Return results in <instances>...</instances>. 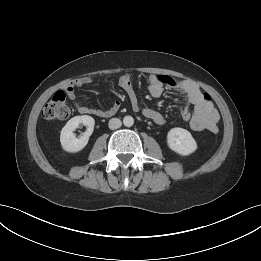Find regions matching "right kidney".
I'll return each instance as SVG.
<instances>
[{
  "mask_svg": "<svg viewBox=\"0 0 261 261\" xmlns=\"http://www.w3.org/2000/svg\"><path fill=\"white\" fill-rule=\"evenodd\" d=\"M80 124L87 127L86 132L80 138H76L74 131ZM95 120L88 115L75 116L71 118L62 128L60 134V142L62 148L71 153L82 150L88 143L89 137L93 133Z\"/></svg>",
  "mask_w": 261,
  "mask_h": 261,
  "instance_id": "1",
  "label": "right kidney"
}]
</instances>
